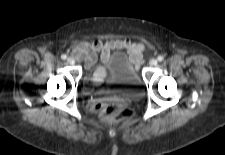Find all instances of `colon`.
Returning a JSON list of instances; mask_svg holds the SVG:
<instances>
[{
    "label": "colon",
    "instance_id": "obj_1",
    "mask_svg": "<svg viewBox=\"0 0 225 155\" xmlns=\"http://www.w3.org/2000/svg\"><path fill=\"white\" fill-rule=\"evenodd\" d=\"M100 111V117L105 122L130 120L135 116L132 108L126 107L119 99H111L102 103H95Z\"/></svg>",
    "mask_w": 225,
    "mask_h": 155
}]
</instances>
